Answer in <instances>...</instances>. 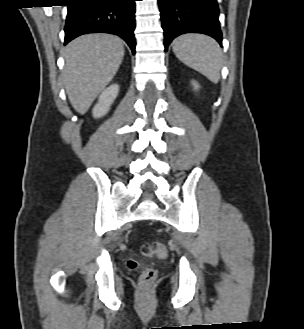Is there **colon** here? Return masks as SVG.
Masks as SVG:
<instances>
[{
    "instance_id": "colon-1",
    "label": "colon",
    "mask_w": 304,
    "mask_h": 329,
    "mask_svg": "<svg viewBox=\"0 0 304 329\" xmlns=\"http://www.w3.org/2000/svg\"><path fill=\"white\" fill-rule=\"evenodd\" d=\"M142 252L145 256L156 258V259H165L167 257L166 246L162 243H145L142 246ZM138 262L134 259H129L127 261V267L131 270L138 268ZM156 278V272L151 267L142 268L139 276L140 283L150 284Z\"/></svg>"
}]
</instances>
